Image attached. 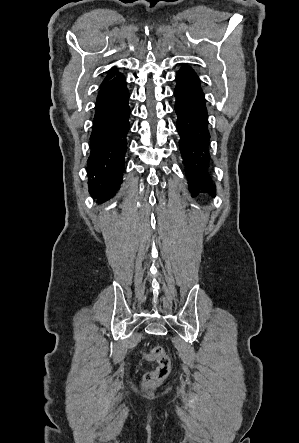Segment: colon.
I'll return each instance as SVG.
<instances>
[{"label":"colon","instance_id":"obj_1","mask_svg":"<svg viewBox=\"0 0 299 443\" xmlns=\"http://www.w3.org/2000/svg\"><path fill=\"white\" fill-rule=\"evenodd\" d=\"M145 358L149 361L157 362L155 370L147 372L143 376L142 384L144 388L150 389L164 381L171 371V360L163 347L157 346L145 353Z\"/></svg>","mask_w":299,"mask_h":443}]
</instances>
